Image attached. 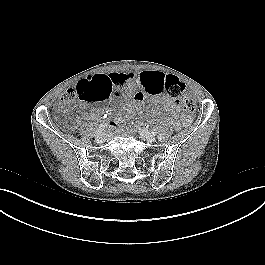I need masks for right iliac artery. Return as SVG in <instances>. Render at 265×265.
Returning <instances> with one entry per match:
<instances>
[{
    "label": "right iliac artery",
    "mask_w": 265,
    "mask_h": 265,
    "mask_svg": "<svg viewBox=\"0 0 265 265\" xmlns=\"http://www.w3.org/2000/svg\"><path fill=\"white\" fill-rule=\"evenodd\" d=\"M106 124H100L99 127L95 131V136H98L102 133V131L105 129Z\"/></svg>",
    "instance_id": "obj_1"
}]
</instances>
